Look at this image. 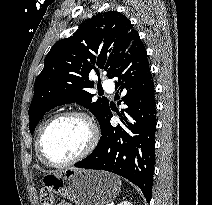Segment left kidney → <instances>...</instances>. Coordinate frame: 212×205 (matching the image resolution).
Masks as SVG:
<instances>
[{
	"mask_svg": "<svg viewBox=\"0 0 212 205\" xmlns=\"http://www.w3.org/2000/svg\"><path fill=\"white\" fill-rule=\"evenodd\" d=\"M118 205H132V203L130 201H122L121 203H119Z\"/></svg>",
	"mask_w": 212,
	"mask_h": 205,
	"instance_id": "1",
	"label": "left kidney"
}]
</instances>
